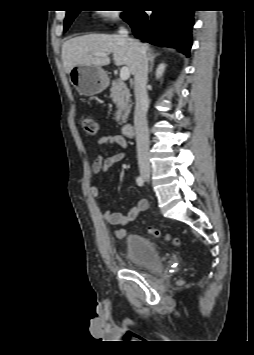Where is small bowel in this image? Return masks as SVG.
<instances>
[{
    "label": "small bowel",
    "mask_w": 254,
    "mask_h": 355,
    "mask_svg": "<svg viewBox=\"0 0 254 355\" xmlns=\"http://www.w3.org/2000/svg\"><path fill=\"white\" fill-rule=\"evenodd\" d=\"M98 146H106V145H117L122 148H126L128 142L125 137L120 134H107L101 136L97 140ZM125 157L124 153H117L111 156H104L103 154H99L92 163V172L93 173H101L107 172L112 166L116 163L122 161ZM90 195L94 199L100 198V192L97 187L90 188ZM149 207L148 201L146 199H140L126 214L113 212L109 208H104L102 211V217L106 223L111 226H124L131 221H134L137 216L147 210ZM115 236L118 239H122L126 236V230L123 228L117 229L115 231Z\"/></svg>",
    "instance_id": "1"
}]
</instances>
